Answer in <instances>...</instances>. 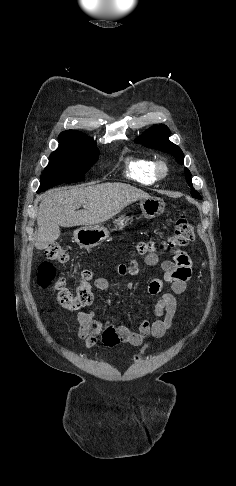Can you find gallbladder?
Wrapping results in <instances>:
<instances>
[{"label":"gallbladder","mask_w":236,"mask_h":486,"mask_svg":"<svg viewBox=\"0 0 236 486\" xmlns=\"http://www.w3.org/2000/svg\"><path fill=\"white\" fill-rule=\"evenodd\" d=\"M43 241L37 244L38 249H45L50 243L55 241L60 235L59 225L50 224L43 232Z\"/></svg>","instance_id":"gallbladder-1"}]
</instances>
